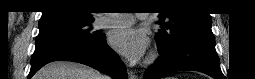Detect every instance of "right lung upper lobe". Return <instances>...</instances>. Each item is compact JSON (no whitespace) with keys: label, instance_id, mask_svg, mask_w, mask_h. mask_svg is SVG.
I'll list each match as a JSON object with an SVG mask.
<instances>
[{"label":"right lung upper lobe","instance_id":"1","mask_svg":"<svg viewBox=\"0 0 255 79\" xmlns=\"http://www.w3.org/2000/svg\"><path fill=\"white\" fill-rule=\"evenodd\" d=\"M93 10L90 0H48L45 3L41 19L73 16L81 20H94L91 15Z\"/></svg>","mask_w":255,"mask_h":79}]
</instances>
